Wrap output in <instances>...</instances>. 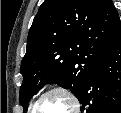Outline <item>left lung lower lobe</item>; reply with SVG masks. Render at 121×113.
Listing matches in <instances>:
<instances>
[{"instance_id":"0a47b994","label":"left lung lower lobe","mask_w":121,"mask_h":113,"mask_svg":"<svg viewBox=\"0 0 121 113\" xmlns=\"http://www.w3.org/2000/svg\"><path fill=\"white\" fill-rule=\"evenodd\" d=\"M79 100L84 113H121V25L87 79Z\"/></svg>"}]
</instances>
